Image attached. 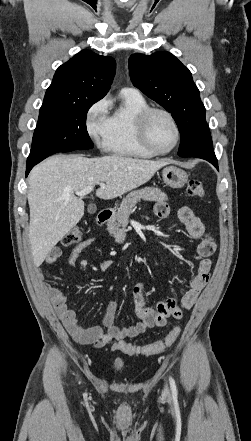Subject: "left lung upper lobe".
<instances>
[{
  "mask_svg": "<svg viewBox=\"0 0 251 441\" xmlns=\"http://www.w3.org/2000/svg\"><path fill=\"white\" fill-rule=\"evenodd\" d=\"M129 73L135 87L172 114L180 131L178 152L184 150L183 135L207 124L191 72L171 53L157 52L131 55Z\"/></svg>",
  "mask_w": 251,
  "mask_h": 441,
  "instance_id": "5c2ea615",
  "label": "left lung upper lobe"
}]
</instances>
